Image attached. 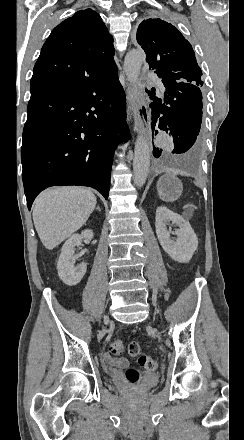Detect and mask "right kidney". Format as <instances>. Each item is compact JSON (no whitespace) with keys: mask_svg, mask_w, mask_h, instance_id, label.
<instances>
[{"mask_svg":"<svg viewBox=\"0 0 244 440\" xmlns=\"http://www.w3.org/2000/svg\"><path fill=\"white\" fill-rule=\"evenodd\" d=\"M83 238H86V240H92V230H84L82 234H73V236L65 242L64 246H62L57 270L60 280H62L64 284H67V286H76L86 274L87 264L82 262V264L74 266L71 262V258L74 256L75 246H79Z\"/></svg>","mask_w":244,"mask_h":440,"instance_id":"right-kidney-1","label":"right kidney"}]
</instances>
